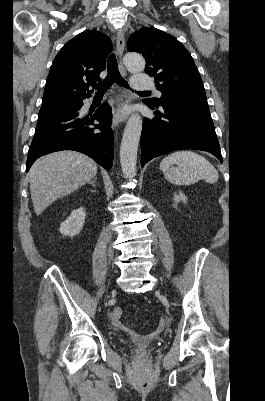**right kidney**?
Wrapping results in <instances>:
<instances>
[{"label": "right kidney", "mask_w": 265, "mask_h": 401, "mask_svg": "<svg viewBox=\"0 0 265 401\" xmlns=\"http://www.w3.org/2000/svg\"><path fill=\"white\" fill-rule=\"evenodd\" d=\"M85 217L86 213L84 207L75 209V211H72L70 217H67L66 221L61 223L59 229L60 233H62V235H66V237H74V235H79L85 223Z\"/></svg>", "instance_id": "right-kidney-1"}]
</instances>
